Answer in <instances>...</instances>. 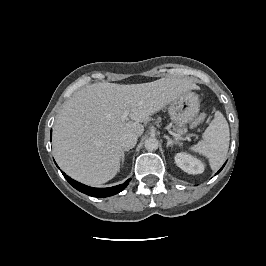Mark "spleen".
<instances>
[{
  "instance_id": "3e777b00",
  "label": "spleen",
  "mask_w": 266,
  "mask_h": 266,
  "mask_svg": "<svg viewBox=\"0 0 266 266\" xmlns=\"http://www.w3.org/2000/svg\"><path fill=\"white\" fill-rule=\"evenodd\" d=\"M230 141V132L228 123L219 111L215 113L202 140L190 148L191 151L199 153L209 159L210 166L213 170L218 169L224 162Z\"/></svg>"
}]
</instances>
